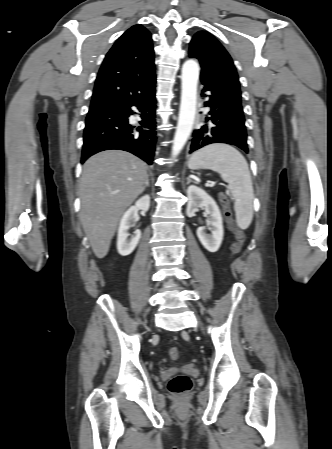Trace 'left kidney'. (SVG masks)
<instances>
[{
  "label": "left kidney",
  "mask_w": 332,
  "mask_h": 449,
  "mask_svg": "<svg viewBox=\"0 0 332 449\" xmlns=\"http://www.w3.org/2000/svg\"><path fill=\"white\" fill-rule=\"evenodd\" d=\"M188 205L187 216L193 217L199 208H204L208 215L207 226L211 228V235L205 233V227L197 229V236L209 252H216L220 248L223 240L224 230L222 216L214 199L209 196L203 189L191 185L187 189Z\"/></svg>",
  "instance_id": "1"
}]
</instances>
